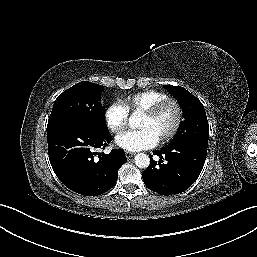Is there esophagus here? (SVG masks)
I'll return each mask as SVG.
<instances>
[{
    "mask_svg": "<svg viewBox=\"0 0 257 257\" xmlns=\"http://www.w3.org/2000/svg\"><path fill=\"white\" fill-rule=\"evenodd\" d=\"M125 155L127 158H131L133 155H135L134 152H130V151H125Z\"/></svg>",
    "mask_w": 257,
    "mask_h": 257,
    "instance_id": "esophagus-1",
    "label": "esophagus"
}]
</instances>
